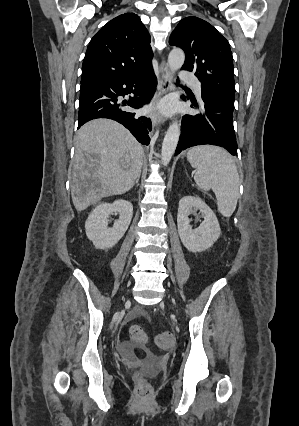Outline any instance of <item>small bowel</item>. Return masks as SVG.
Here are the masks:
<instances>
[{"instance_id": "small-bowel-1", "label": "small bowel", "mask_w": 299, "mask_h": 426, "mask_svg": "<svg viewBox=\"0 0 299 426\" xmlns=\"http://www.w3.org/2000/svg\"><path fill=\"white\" fill-rule=\"evenodd\" d=\"M133 317H144L145 313L144 311L137 309L134 311ZM137 348V344L135 341H125L122 342L120 345V350L123 354V356L125 357V359L127 361H129L130 363H136L138 360V357L135 354Z\"/></svg>"}]
</instances>
